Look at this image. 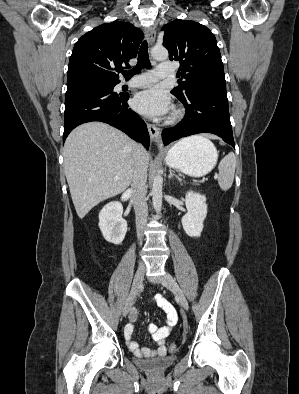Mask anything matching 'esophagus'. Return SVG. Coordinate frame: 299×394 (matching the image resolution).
Instances as JSON below:
<instances>
[{"instance_id":"obj_1","label":"esophagus","mask_w":299,"mask_h":394,"mask_svg":"<svg viewBox=\"0 0 299 394\" xmlns=\"http://www.w3.org/2000/svg\"><path fill=\"white\" fill-rule=\"evenodd\" d=\"M146 36L148 39V42L150 44H153L156 38V31L153 27H149L146 29ZM147 128L150 134V138L152 141H154L159 147L162 146L161 144V140H160V134H161V130L160 128L156 127L153 124H147Z\"/></svg>"}]
</instances>
